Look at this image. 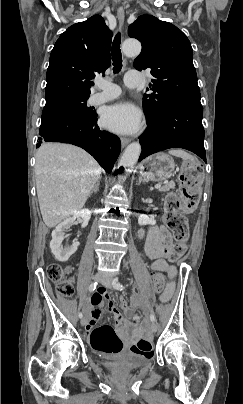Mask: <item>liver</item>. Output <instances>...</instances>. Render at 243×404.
Here are the masks:
<instances>
[{
  "label": "liver",
  "instance_id": "liver-1",
  "mask_svg": "<svg viewBox=\"0 0 243 404\" xmlns=\"http://www.w3.org/2000/svg\"><path fill=\"white\" fill-rule=\"evenodd\" d=\"M102 170L85 150L46 142L36 152L35 180L44 224L54 228L83 208Z\"/></svg>",
  "mask_w": 243,
  "mask_h": 404
}]
</instances>
